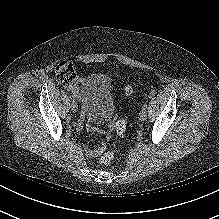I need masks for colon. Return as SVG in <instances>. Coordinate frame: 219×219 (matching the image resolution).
<instances>
[{"label":"colon","instance_id":"1","mask_svg":"<svg viewBox=\"0 0 219 219\" xmlns=\"http://www.w3.org/2000/svg\"><path fill=\"white\" fill-rule=\"evenodd\" d=\"M77 73L75 66L70 61H62L55 68V77L58 82L63 85H71L76 79ZM131 89L127 88L126 92L130 93ZM128 125L127 119H118L114 123V130L117 136L122 139L126 134V129ZM117 141H114L111 144V147L106 151L99 159V166L105 167L108 166L115 155V148Z\"/></svg>","mask_w":219,"mask_h":219}]
</instances>
